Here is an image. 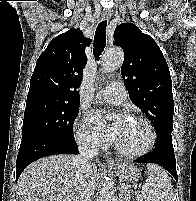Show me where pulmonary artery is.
I'll list each match as a JSON object with an SVG mask.
<instances>
[{
	"instance_id": "pulmonary-artery-1",
	"label": "pulmonary artery",
	"mask_w": 196,
	"mask_h": 201,
	"mask_svg": "<svg viewBox=\"0 0 196 201\" xmlns=\"http://www.w3.org/2000/svg\"><path fill=\"white\" fill-rule=\"evenodd\" d=\"M97 95L106 102L119 105L125 101L127 92L121 82H114L100 90Z\"/></svg>"
}]
</instances>
